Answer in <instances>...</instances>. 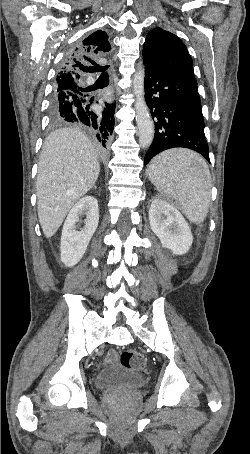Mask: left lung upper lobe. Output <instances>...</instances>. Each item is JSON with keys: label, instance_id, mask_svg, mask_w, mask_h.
<instances>
[{"label": "left lung upper lobe", "instance_id": "obj_1", "mask_svg": "<svg viewBox=\"0 0 250 454\" xmlns=\"http://www.w3.org/2000/svg\"><path fill=\"white\" fill-rule=\"evenodd\" d=\"M143 60L169 73L194 76L193 61L186 46L176 35L159 27L146 37Z\"/></svg>", "mask_w": 250, "mask_h": 454}]
</instances>
